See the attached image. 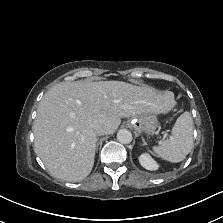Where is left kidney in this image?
I'll list each match as a JSON object with an SVG mask.
<instances>
[{"label": "left kidney", "instance_id": "1", "mask_svg": "<svg viewBox=\"0 0 223 223\" xmlns=\"http://www.w3.org/2000/svg\"><path fill=\"white\" fill-rule=\"evenodd\" d=\"M139 162L142 167L150 171H154L159 168L157 162L148 153L141 154L139 156Z\"/></svg>", "mask_w": 223, "mask_h": 223}]
</instances>
